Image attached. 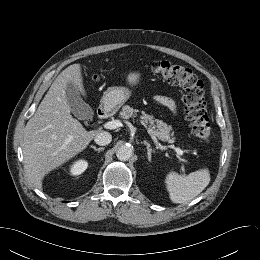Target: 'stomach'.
Wrapping results in <instances>:
<instances>
[{
	"instance_id": "obj_1",
	"label": "stomach",
	"mask_w": 260,
	"mask_h": 260,
	"mask_svg": "<svg viewBox=\"0 0 260 260\" xmlns=\"http://www.w3.org/2000/svg\"><path fill=\"white\" fill-rule=\"evenodd\" d=\"M139 80V71H132L127 75V82L131 86L137 85ZM130 96L131 91L127 87H110L104 92L101 102L106 109H118L130 98Z\"/></svg>"
}]
</instances>
